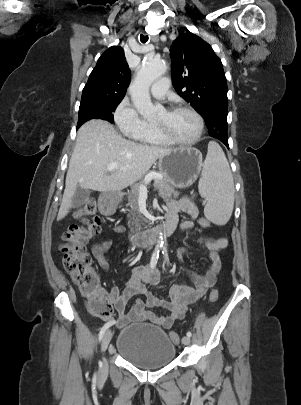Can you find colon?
<instances>
[{
  "label": "colon",
  "mask_w": 301,
  "mask_h": 405,
  "mask_svg": "<svg viewBox=\"0 0 301 405\" xmlns=\"http://www.w3.org/2000/svg\"><path fill=\"white\" fill-rule=\"evenodd\" d=\"M75 217L81 221V225L72 224L63 235L65 241L62 247L63 266L86 298L91 313L98 318L108 319L112 314L111 305L99 287L98 276L86 249L88 241L101 231V219L97 216L96 203L86 202ZM198 224L202 228L210 227L209 220L204 217L198 220ZM218 297V290L213 289L209 300L216 302ZM170 338L173 343H180V337L176 332H170Z\"/></svg>",
  "instance_id": "colon-1"
}]
</instances>
